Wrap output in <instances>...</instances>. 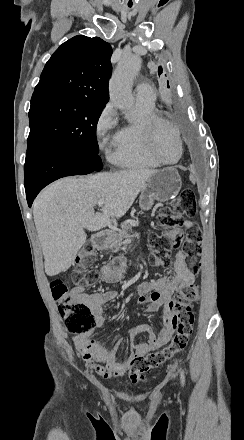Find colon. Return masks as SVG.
Segmentation results:
<instances>
[{
	"label": "colon",
	"instance_id": "colon-1",
	"mask_svg": "<svg viewBox=\"0 0 244 440\" xmlns=\"http://www.w3.org/2000/svg\"><path fill=\"white\" fill-rule=\"evenodd\" d=\"M197 215L195 193L191 189L182 190L178 200L171 208H164L158 215V227L167 229L166 234L154 233L149 237V244L156 253L157 264H167L168 252L181 246L186 266L190 272L199 275L201 269L202 231L195 223L185 226V219ZM75 269L77 272L87 270L83 283H96L97 275L92 270L95 254L91 248H84ZM50 290L54 301L57 302L61 314L68 313V329L72 330L71 319H93V310H88L87 304H74L66 281L61 278L50 282ZM200 297V289L195 285H185L176 294L175 301L170 305L171 323L174 334L170 342L160 351L149 352L134 358L130 363V377L134 381L143 382L144 373L159 368L176 354L183 351L189 342L193 331L194 314L192 303Z\"/></svg>",
	"mask_w": 244,
	"mask_h": 440
}]
</instances>
